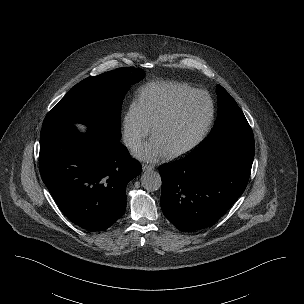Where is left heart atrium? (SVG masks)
Instances as JSON below:
<instances>
[{"mask_svg":"<svg viewBox=\"0 0 304 304\" xmlns=\"http://www.w3.org/2000/svg\"><path fill=\"white\" fill-rule=\"evenodd\" d=\"M168 154L166 148L156 137H153L149 142L143 144L134 152L137 158L151 162L165 158Z\"/></svg>","mask_w":304,"mask_h":304,"instance_id":"obj_1","label":"left heart atrium"}]
</instances>
